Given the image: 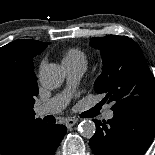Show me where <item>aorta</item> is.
<instances>
[{
    "label": "aorta",
    "instance_id": "aorta-1",
    "mask_svg": "<svg viewBox=\"0 0 155 155\" xmlns=\"http://www.w3.org/2000/svg\"><path fill=\"white\" fill-rule=\"evenodd\" d=\"M64 78V69L57 64L45 65L39 73L40 83L47 89H56L60 87ZM78 131L83 137L90 139L96 131L95 123L91 120H83L78 125Z\"/></svg>",
    "mask_w": 155,
    "mask_h": 155
}]
</instances>
